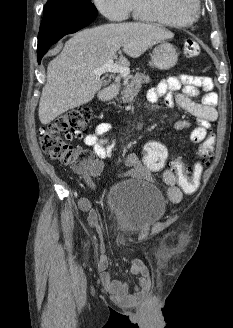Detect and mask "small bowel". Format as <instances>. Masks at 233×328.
Instances as JSON below:
<instances>
[{
  "mask_svg": "<svg viewBox=\"0 0 233 328\" xmlns=\"http://www.w3.org/2000/svg\"><path fill=\"white\" fill-rule=\"evenodd\" d=\"M204 91L202 103L193 101L195 97ZM163 97L166 106H179L196 117L197 125L191 129L190 141L194 144L201 143L207 137L211 123L218 118L216 110L217 94L213 92L212 79L205 76L180 75L162 79L156 86L150 88L147 92V98L151 102H156ZM177 130L190 129L191 124L186 120H179L175 123ZM111 129L108 122L99 123L94 131L84 138V144L92 147L94 153L101 159L111 156L113 151V142L109 137H104ZM120 177H127L135 180L149 178L148 169L135 153L127 154L124 158L122 167L119 171ZM163 181L168 186L167 195L171 202L179 203L183 198V192L178 185L177 176L172 169H167L163 173ZM92 190L95 186L89 182ZM78 206L81 210L88 213L89 221L92 225H98V215L93 209L91 201L86 197L78 200ZM130 271L138 277V284L134 293H130L126 282L113 279L107 270L100 271V280L110 295L111 299L124 305L134 304L148 294L151 287L149 271L141 259H134L130 266Z\"/></svg>",
  "mask_w": 233,
  "mask_h": 328,
  "instance_id": "c3829d8e",
  "label": "small bowel"
}]
</instances>
